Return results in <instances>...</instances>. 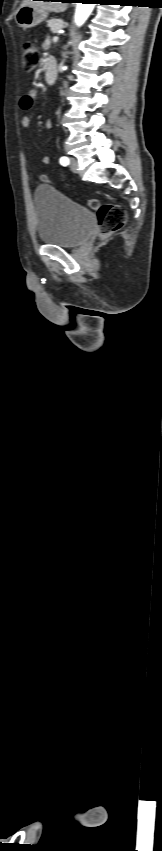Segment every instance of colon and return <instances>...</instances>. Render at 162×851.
<instances>
[{
    "label": "colon",
    "mask_w": 162,
    "mask_h": 851,
    "mask_svg": "<svg viewBox=\"0 0 162 851\" xmlns=\"http://www.w3.org/2000/svg\"><path fill=\"white\" fill-rule=\"evenodd\" d=\"M39 60L38 51L34 44L30 41H25L22 44V66L26 72H31L36 67ZM45 180V177H43ZM89 206L97 212L99 233L101 237H107L120 230L126 220L127 214L125 209L119 204H101L97 199H90Z\"/></svg>",
    "instance_id": "obj_1"
}]
</instances>
